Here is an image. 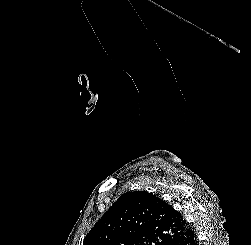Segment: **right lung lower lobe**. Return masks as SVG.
Segmentation results:
<instances>
[{"label":"right lung lower lobe","mask_w":251,"mask_h":245,"mask_svg":"<svg viewBox=\"0 0 251 245\" xmlns=\"http://www.w3.org/2000/svg\"><path fill=\"white\" fill-rule=\"evenodd\" d=\"M197 243L194 231L188 227L182 236L170 241L167 245H198Z\"/></svg>","instance_id":"right-lung-lower-lobe-1"}]
</instances>
